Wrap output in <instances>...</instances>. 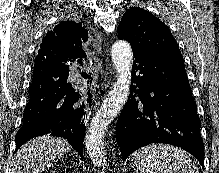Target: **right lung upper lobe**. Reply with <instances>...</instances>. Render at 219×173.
I'll return each instance as SVG.
<instances>
[{
    "instance_id": "1",
    "label": "right lung upper lobe",
    "mask_w": 219,
    "mask_h": 173,
    "mask_svg": "<svg viewBox=\"0 0 219 173\" xmlns=\"http://www.w3.org/2000/svg\"><path fill=\"white\" fill-rule=\"evenodd\" d=\"M88 31L82 24L63 21L43 38L35 64L41 61H64L85 57L82 42L87 40Z\"/></svg>"
}]
</instances>
